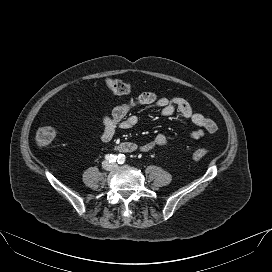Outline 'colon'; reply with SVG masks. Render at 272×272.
Here are the masks:
<instances>
[{"instance_id": "1", "label": "colon", "mask_w": 272, "mask_h": 272, "mask_svg": "<svg viewBox=\"0 0 272 272\" xmlns=\"http://www.w3.org/2000/svg\"><path fill=\"white\" fill-rule=\"evenodd\" d=\"M106 86L115 94H129L131 92V85L124 80L108 78L106 79ZM56 136L54 127L50 125H44L38 128L35 134V141L39 146L50 145ZM209 150L207 148H201L194 151L191 155L193 161H200L207 156Z\"/></svg>"}]
</instances>
